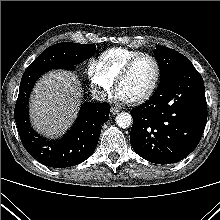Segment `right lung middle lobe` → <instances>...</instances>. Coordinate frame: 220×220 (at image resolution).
Wrapping results in <instances>:
<instances>
[{"label":"right lung middle lobe","instance_id":"right-lung-middle-lobe-1","mask_svg":"<svg viewBox=\"0 0 220 220\" xmlns=\"http://www.w3.org/2000/svg\"><path fill=\"white\" fill-rule=\"evenodd\" d=\"M96 51L94 44L63 42L45 49L27 69L73 68L90 58Z\"/></svg>","mask_w":220,"mask_h":220}]
</instances>
